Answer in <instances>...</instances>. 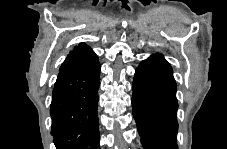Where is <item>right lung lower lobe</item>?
I'll return each instance as SVG.
<instances>
[{"label": "right lung lower lobe", "mask_w": 227, "mask_h": 149, "mask_svg": "<svg viewBox=\"0 0 227 149\" xmlns=\"http://www.w3.org/2000/svg\"><path fill=\"white\" fill-rule=\"evenodd\" d=\"M99 79L97 56L60 70L50 107L56 149H100Z\"/></svg>", "instance_id": "obj_1"}]
</instances>
